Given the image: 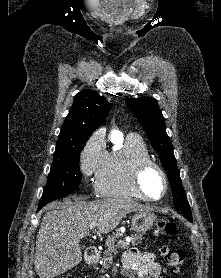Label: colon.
Instances as JSON below:
<instances>
[{
	"instance_id": "obj_1",
	"label": "colon",
	"mask_w": 221,
	"mask_h": 278,
	"mask_svg": "<svg viewBox=\"0 0 221 278\" xmlns=\"http://www.w3.org/2000/svg\"><path fill=\"white\" fill-rule=\"evenodd\" d=\"M176 228L174 223L166 218L161 217L157 220L155 233L159 237H172L175 235ZM163 254L166 258L170 271L178 273L181 271L185 262V252L180 248H164Z\"/></svg>"
}]
</instances>
